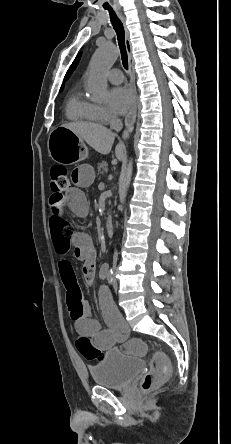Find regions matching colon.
I'll return each mask as SVG.
<instances>
[{
    "instance_id": "5ec220e1",
    "label": "colon",
    "mask_w": 231,
    "mask_h": 444,
    "mask_svg": "<svg viewBox=\"0 0 231 444\" xmlns=\"http://www.w3.org/2000/svg\"><path fill=\"white\" fill-rule=\"evenodd\" d=\"M50 189L53 197L60 198L66 195L70 188L69 175L66 167L54 165L50 169ZM76 347L81 355L89 361H98L103 353L96 348L91 340L85 336H80L76 340ZM127 349L134 354L144 355L147 351L146 344L137 338L130 339L126 344ZM170 373V366L166 356L161 353H155L150 361V368L142 379V389L148 391L154 386L164 381Z\"/></svg>"
}]
</instances>
